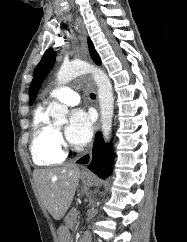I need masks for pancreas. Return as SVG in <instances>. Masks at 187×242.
<instances>
[{
	"mask_svg": "<svg viewBox=\"0 0 187 242\" xmlns=\"http://www.w3.org/2000/svg\"><path fill=\"white\" fill-rule=\"evenodd\" d=\"M77 216H78V211L75 208H73L69 212V214H68V216H67V218L65 220L66 225L68 227H73L74 224L76 223Z\"/></svg>",
	"mask_w": 187,
	"mask_h": 242,
	"instance_id": "cf45deb5",
	"label": "pancreas"
}]
</instances>
